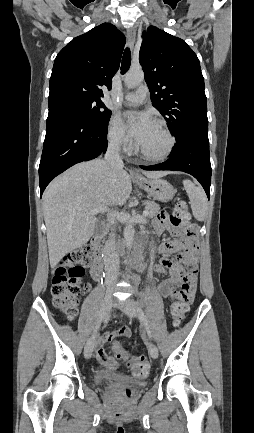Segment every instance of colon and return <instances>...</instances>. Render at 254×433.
<instances>
[{
    "mask_svg": "<svg viewBox=\"0 0 254 433\" xmlns=\"http://www.w3.org/2000/svg\"><path fill=\"white\" fill-rule=\"evenodd\" d=\"M159 219L171 227L182 229L187 235L194 236L197 232V225L192 222L184 202H178L169 212L161 213ZM88 262L89 248L81 247L67 253L55 269L51 288L53 303L69 319L74 318L77 313L84 286V266ZM191 300H178L172 304L171 317L175 326H179L184 320ZM120 333L126 335L127 331L121 328ZM128 365L132 368L133 375L140 378L145 377L150 369L144 356L128 359Z\"/></svg>",
    "mask_w": 254,
    "mask_h": 433,
    "instance_id": "5ec220e1",
    "label": "colon"
}]
</instances>
